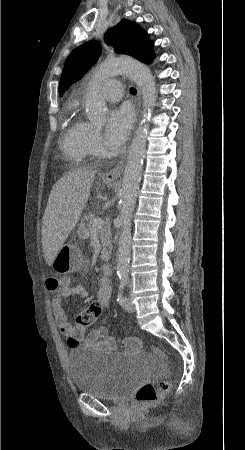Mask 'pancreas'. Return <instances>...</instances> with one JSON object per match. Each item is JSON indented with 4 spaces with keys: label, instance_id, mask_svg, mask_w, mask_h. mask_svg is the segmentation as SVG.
Wrapping results in <instances>:
<instances>
[{
    "label": "pancreas",
    "instance_id": "pancreas-1",
    "mask_svg": "<svg viewBox=\"0 0 245 450\" xmlns=\"http://www.w3.org/2000/svg\"><path fill=\"white\" fill-rule=\"evenodd\" d=\"M95 218L93 213L85 214L81 218V222L78 224V234L82 239H88L91 235L90 230L92 227L93 219ZM99 238L102 246V260H108L112 250L111 244V231L109 227H104L99 232Z\"/></svg>",
    "mask_w": 245,
    "mask_h": 450
}]
</instances>
